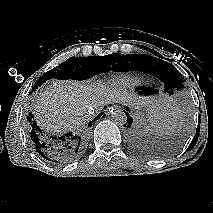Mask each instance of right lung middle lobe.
I'll return each mask as SVG.
<instances>
[{
  "instance_id": "1",
  "label": "right lung middle lobe",
  "mask_w": 213,
  "mask_h": 213,
  "mask_svg": "<svg viewBox=\"0 0 213 213\" xmlns=\"http://www.w3.org/2000/svg\"><path fill=\"white\" fill-rule=\"evenodd\" d=\"M123 54L112 53L108 56L71 57L67 61L42 75L35 85H42L48 79H78L85 80L96 74L108 72L123 61L118 62ZM118 62V64H116Z\"/></svg>"
}]
</instances>
